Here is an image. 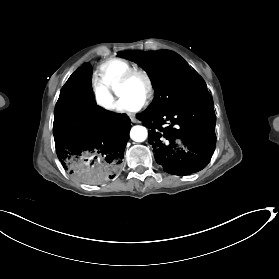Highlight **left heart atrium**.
<instances>
[{
    "instance_id": "left-heart-atrium-1",
    "label": "left heart atrium",
    "mask_w": 279,
    "mask_h": 279,
    "mask_svg": "<svg viewBox=\"0 0 279 279\" xmlns=\"http://www.w3.org/2000/svg\"><path fill=\"white\" fill-rule=\"evenodd\" d=\"M143 106V100H131L128 98H121L118 105V110L123 113H134L139 111Z\"/></svg>"
}]
</instances>
